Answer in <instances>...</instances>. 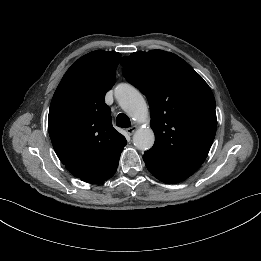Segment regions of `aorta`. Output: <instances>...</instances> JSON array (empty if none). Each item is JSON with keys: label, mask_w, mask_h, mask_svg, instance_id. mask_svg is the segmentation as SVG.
I'll return each instance as SVG.
<instances>
[{"label": "aorta", "mask_w": 261, "mask_h": 261, "mask_svg": "<svg viewBox=\"0 0 261 261\" xmlns=\"http://www.w3.org/2000/svg\"><path fill=\"white\" fill-rule=\"evenodd\" d=\"M115 97L120 107L137 123L149 120V112L141 93L128 84H120L115 89ZM155 141V135L150 127H140L133 135V143L139 150L150 149Z\"/></svg>", "instance_id": "obj_1"}]
</instances>
